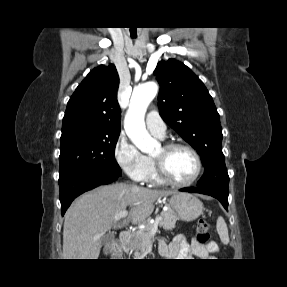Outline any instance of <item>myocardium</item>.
I'll use <instances>...</instances> for the list:
<instances>
[{
	"instance_id": "f54148a6",
	"label": "myocardium",
	"mask_w": 287,
	"mask_h": 287,
	"mask_svg": "<svg viewBox=\"0 0 287 287\" xmlns=\"http://www.w3.org/2000/svg\"><path fill=\"white\" fill-rule=\"evenodd\" d=\"M161 147L165 153H169L175 149L188 150L194 156L195 161H196V166H197L196 172L190 180H188L186 182H179V181L174 180L169 175L163 159L160 157L153 156L152 159H153L157 174L162 181H164L165 183H168L170 185L176 186V187H187V186L194 184L199 179V177L202 173L203 163H202V159H201L200 154L198 153V151L194 147H192L188 144L179 143V142L166 143V144L162 145Z\"/></svg>"
}]
</instances>
